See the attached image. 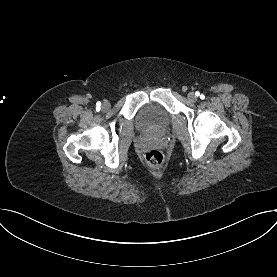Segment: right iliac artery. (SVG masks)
<instances>
[{
	"label": "right iliac artery",
	"mask_w": 277,
	"mask_h": 277,
	"mask_svg": "<svg viewBox=\"0 0 277 277\" xmlns=\"http://www.w3.org/2000/svg\"><path fill=\"white\" fill-rule=\"evenodd\" d=\"M100 106H101V103L98 102V103H97V108H100Z\"/></svg>",
	"instance_id": "82829eb1"
}]
</instances>
